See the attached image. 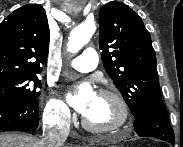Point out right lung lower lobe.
Wrapping results in <instances>:
<instances>
[{
  "label": "right lung lower lobe",
  "instance_id": "98d812e1",
  "mask_svg": "<svg viewBox=\"0 0 183 147\" xmlns=\"http://www.w3.org/2000/svg\"><path fill=\"white\" fill-rule=\"evenodd\" d=\"M38 120L37 99L0 100V132L33 131L39 125Z\"/></svg>",
  "mask_w": 183,
  "mask_h": 147
}]
</instances>
